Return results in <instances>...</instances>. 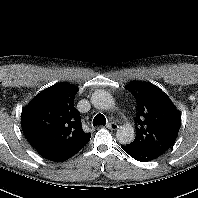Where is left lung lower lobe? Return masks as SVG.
<instances>
[{
    "instance_id": "1",
    "label": "left lung lower lobe",
    "mask_w": 198,
    "mask_h": 198,
    "mask_svg": "<svg viewBox=\"0 0 198 198\" xmlns=\"http://www.w3.org/2000/svg\"><path fill=\"white\" fill-rule=\"evenodd\" d=\"M122 149H124L132 158L141 161L148 162L154 160L161 156L162 154L156 152H149L145 150H141L135 147L128 145H121Z\"/></svg>"
}]
</instances>
